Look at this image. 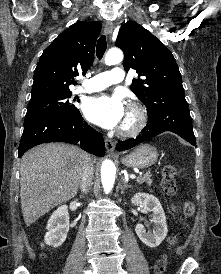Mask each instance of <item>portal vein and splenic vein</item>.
I'll list each match as a JSON object with an SVG mask.
<instances>
[{
	"mask_svg": "<svg viewBox=\"0 0 221 274\" xmlns=\"http://www.w3.org/2000/svg\"><path fill=\"white\" fill-rule=\"evenodd\" d=\"M130 178L131 179H136V176L132 174V175H130Z\"/></svg>",
	"mask_w": 221,
	"mask_h": 274,
	"instance_id": "portal-vein-and-splenic-vein-1",
	"label": "portal vein and splenic vein"
}]
</instances>
